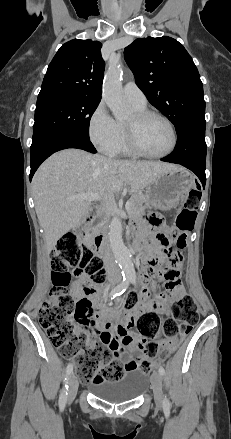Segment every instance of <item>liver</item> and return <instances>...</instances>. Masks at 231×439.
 Returning a JSON list of instances; mask_svg holds the SVG:
<instances>
[{"label":"liver","instance_id":"1","mask_svg":"<svg viewBox=\"0 0 231 439\" xmlns=\"http://www.w3.org/2000/svg\"><path fill=\"white\" fill-rule=\"evenodd\" d=\"M181 167L163 162L123 161L92 155L80 149H65L49 157L32 180L35 210L47 252L74 228L89 208V201L70 197L97 193L103 204L125 185L147 188L160 175Z\"/></svg>","mask_w":231,"mask_h":439}]
</instances>
